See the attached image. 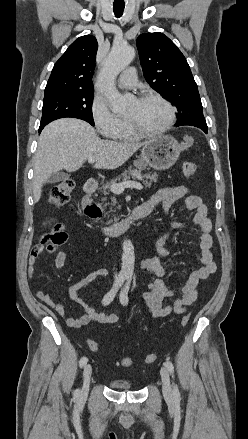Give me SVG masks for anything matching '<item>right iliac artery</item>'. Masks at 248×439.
I'll return each instance as SVG.
<instances>
[{
  "label": "right iliac artery",
  "instance_id": "82829eb1",
  "mask_svg": "<svg viewBox=\"0 0 248 439\" xmlns=\"http://www.w3.org/2000/svg\"><path fill=\"white\" fill-rule=\"evenodd\" d=\"M126 278H127V275H124V274H120V275L117 277V279H116V281H115L113 287H112L111 290H110V291L104 296V298H103V300H102V304H103L104 306L110 304V303L113 301V299H114V297L116 296V294H117L119 288L122 286V284L124 283V281H125ZM87 361H88L87 357H85V356L82 357V358L80 359V361H79V365H80V367H81V368L84 367V366L87 364Z\"/></svg>",
  "mask_w": 248,
  "mask_h": 439
}]
</instances>
